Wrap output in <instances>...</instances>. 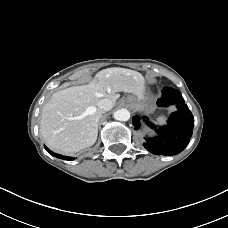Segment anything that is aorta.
<instances>
[{"label": "aorta", "instance_id": "obj_1", "mask_svg": "<svg viewBox=\"0 0 228 228\" xmlns=\"http://www.w3.org/2000/svg\"><path fill=\"white\" fill-rule=\"evenodd\" d=\"M114 118L118 121H128L130 119V113L127 109H120L114 112Z\"/></svg>", "mask_w": 228, "mask_h": 228}]
</instances>
